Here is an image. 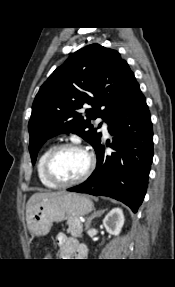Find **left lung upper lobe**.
<instances>
[{"mask_svg":"<svg viewBox=\"0 0 175 287\" xmlns=\"http://www.w3.org/2000/svg\"><path fill=\"white\" fill-rule=\"evenodd\" d=\"M137 85L116 50L91 44L72 54L35 97L28 125L32 163L46 140L60 133H75L96 149L101 124L94 128L90 120L101 117L108 123L128 103ZM84 104L90 106L87 119L80 112Z\"/></svg>","mask_w":175,"mask_h":287,"instance_id":"5c2ea615","label":"left lung upper lobe"}]
</instances>
